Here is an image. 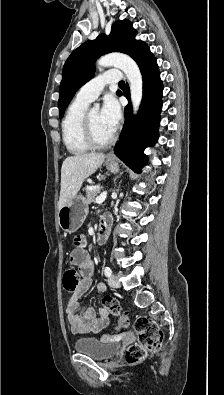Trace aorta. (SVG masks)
I'll return each mask as SVG.
<instances>
[{"mask_svg": "<svg viewBox=\"0 0 224 395\" xmlns=\"http://www.w3.org/2000/svg\"><path fill=\"white\" fill-rule=\"evenodd\" d=\"M97 65L100 67H116L125 73L129 82L133 113L137 114L143 96V80L136 62L126 54L111 53L100 57L97 60ZM93 110H99V104H95Z\"/></svg>", "mask_w": 224, "mask_h": 395, "instance_id": "aorta-1", "label": "aorta"}]
</instances>
